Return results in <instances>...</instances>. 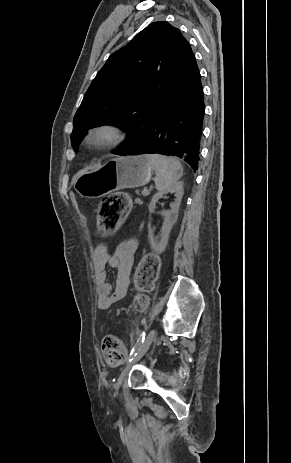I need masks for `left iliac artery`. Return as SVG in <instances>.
Here are the masks:
<instances>
[{
  "label": "left iliac artery",
  "mask_w": 291,
  "mask_h": 463,
  "mask_svg": "<svg viewBox=\"0 0 291 463\" xmlns=\"http://www.w3.org/2000/svg\"><path fill=\"white\" fill-rule=\"evenodd\" d=\"M144 340H145V332H142L140 334L139 339L137 340V343L135 344V346L133 347V349L130 352V355H129L128 359H127V363L132 361L133 356L136 355V353L140 349V347H141L142 343L144 342Z\"/></svg>",
  "instance_id": "left-iliac-artery-1"
}]
</instances>
